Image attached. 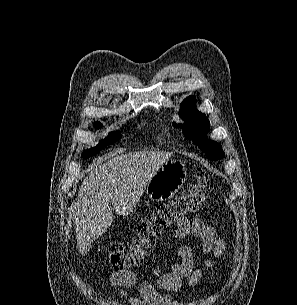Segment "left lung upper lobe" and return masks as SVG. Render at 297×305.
<instances>
[{
	"label": "left lung upper lobe",
	"mask_w": 297,
	"mask_h": 305,
	"mask_svg": "<svg viewBox=\"0 0 297 305\" xmlns=\"http://www.w3.org/2000/svg\"><path fill=\"white\" fill-rule=\"evenodd\" d=\"M180 116L186 124L173 123L175 127L183 128V134L193 140L210 160L222 159L224 152L222 146L206 137L209 131L210 122L205 114L196 109L195 97H187L181 104Z\"/></svg>",
	"instance_id": "5c2ea615"
}]
</instances>
